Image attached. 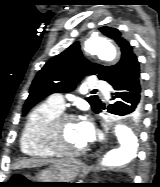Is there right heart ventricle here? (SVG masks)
<instances>
[{"mask_svg": "<svg viewBox=\"0 0 160 187\" xmlns=\"http://www.w3.org/2000/svg\"><path fill=\"white\" fill-rule=\"evenodd\" d=\"M62 112L46 101L29 114L21 134L20 148L23 154L34 158H50L56 154L48 147L46 133L51 120Z\"/></svg>", "mask_w": 160, "mask_h": 187, "instance_id": "right-heart-ventricle-1", "label": "right heart ventricle"}]
</instances>
